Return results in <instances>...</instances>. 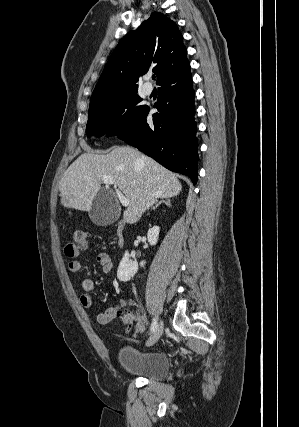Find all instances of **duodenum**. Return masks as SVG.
Wrapping results in <instances>:
<instances>
[{
    "label": "duodenum",
    "instance_id": "410a0bca",
    "mask_svg": "<svg viewBox=\"0 0 299 427\" xmlns=\"http://www.w3.org/2000/svg\"><path fill=\"white\" fill-rule=\"evenodd\" d=\"M125 231H126L125 223H123V222L119 223L118 224V230H117V237H118L119 245H123L125 242Z\"/></svg>",
    "mask_w": 299,
    "mask_h": 427
}]
</instances>
